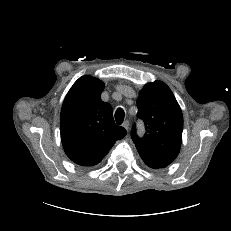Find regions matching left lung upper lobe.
Returning a JSON list of instances; mask_svg holds the SVG:
<instances>
[{"label":"left lung upper lobe","instance_id":"left-lung-upper-lobe-1","mask_svg":"<svg viewBox=\"0 0 231 231\" xmlns=\"http://www.w3.org/2000/svg\"><path fill=\"white\" fill-rule=\"evenodd\" d=\"M138 117L146 127L140 139L136 130L132 139L142 160L151 168H164L177 157L183 131L181 108L170 88L161 81L148 83L137 100Z\"/></svg>","mask_w":231,"mask_h":231}]
</instances>
